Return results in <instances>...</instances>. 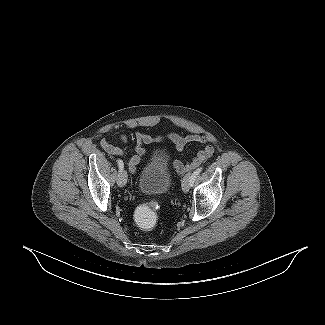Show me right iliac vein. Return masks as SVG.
<instances>
[{"label": "right iliac vein", "mask_w": 325, "mask_h": 325, "mask_svg": "<svg viewBox=\"0 0 325 325\" xmlns=\"http://www.w3.org/2000/svg\"><path fill=\"white\" fill-rule=\"evenodd\" d=\"M118 185L123 187L127 183V172L125 170H120L117 179Z\"/></svg>", "instance_id": "63e3f726"}]
</instances>
